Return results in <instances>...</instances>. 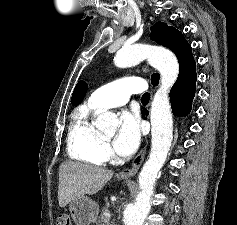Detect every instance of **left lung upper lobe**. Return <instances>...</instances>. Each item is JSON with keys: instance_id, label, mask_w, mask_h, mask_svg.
<instances>
[{"instance_id": "obj_1", "label": "left lung upper lobe", "mask_w": 237, "mask_h": 225, "mask_svg": "<svg viewBox=\"0 0 237 225\" xmlns=\"http://www.w3.org/2000/svg\"><path fill=\"white\" fill-rule=\"evenodd\" d=\"M150 38L151 40L168 47L176 54L179 61V75L189 72L195 73L196 64L192 55L191 46L180 31L172 26H168L166 23L157 22L151 28ZM151 79L153 85H157L159 74L154 73Z\"/></svg>"}]
</instances>
